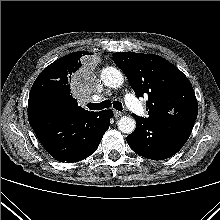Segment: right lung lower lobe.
I'll list each match as a JSON object with an SVG mask.
<instances>
[{"mask_svg": "<svg viewBox=\"0 0 220 220\" xmlns=\"http://www.w3.org/2000/svg\"><path fill=\"white\" fill-rule=\"evenodd\" d=\"M112 116V110L82 114L51 107L28 110L29 123L45 150L66 163L81 161L97 150Z\"/></svg>", "mask_w": 220, "mask_h": 220, "instance_id": "right-lung-lower-lobe-1", "label": "right lung lower lobe"}]
</instances>
